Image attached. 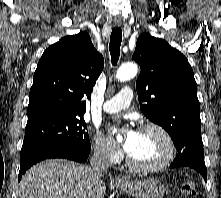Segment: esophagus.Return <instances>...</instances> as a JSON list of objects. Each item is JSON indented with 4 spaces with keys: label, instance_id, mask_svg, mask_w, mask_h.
I'll use <instances>...</instances> for the list:
<instances>
[{
    "label": "esophagus",
    "instance_id": "obj_1",
    "mask_svg": "<svg viewBox=\"0 0 221 198\" xmlns=\"http://www.w3.org/2000/svg\"><path fill=\"white\" fill-rule=\"evenodd\" d=\"M118 26H119L118 24H115V25H114V27H118ZM115 181H116V182H122L123 179L120 178V177H116V178H115Z\"/></svg>",
    "mask_w": 221,
    "mask_h": 198
}]
</instances>
